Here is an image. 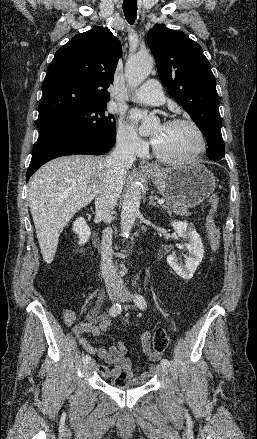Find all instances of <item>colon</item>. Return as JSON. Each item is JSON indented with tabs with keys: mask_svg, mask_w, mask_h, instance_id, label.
Instances as JSON below:
<instances>
[{
	"mask_svg": "<svg viewBox=\"0 0 257 439\" xmlns=\"http://www.w3.org/2000/svg\"><path fill=\"white\" fill-rule=\"evenodd\" d=\"M219 203V196L212 194L208 199L209 212L206 217V226L208 231V238L210 248L213 252H217L220 246V231L216 223V211ZM169 344V336L163 329L155 331L152 340V347L155 352H163ZM109 376L108 372H104ZM127 384V379L124 375H118L114 378V385L118 388H123Z\"/></svg>",
	"mask_w": 257,
	"mask_h": 439,
	"instance_id": "1",
	"label": "colon"
}]
</instances>
